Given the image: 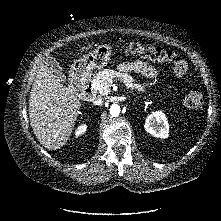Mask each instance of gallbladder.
Returning <instances> with one entry per match:
<instances>
[{"label":"gallbladder","instance_id":"bac80fb5","mask_svg":"<svg viewBox=\"0 0 221 221\" xmlns=\"http://www.w3.org/2000/svg\"><path fill=\"white\" fill-rule=\"evenodd\" d=\"M45 64L48 67V69L54 74L57 80H59L62 83H64L67 80L61 66L55 58L47 57L45 60Z\"/></svg>","mask_w":221,"mask_h":221}]
</instances>
